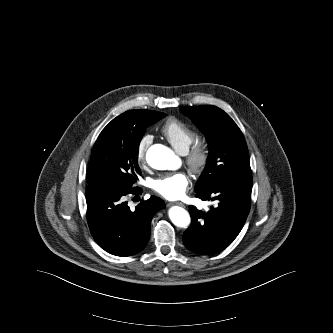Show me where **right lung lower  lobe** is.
I'll list each match as a JSON object with an SVG mask.
<instances>
[{"label": "right lung lower lobe", "mask_w": 333, "mask_h": 333, "mask_svg": "<svg viewBox=\"0 0 333 333\" xmlns=\"http://www.w3.org/2000/svg\"><path fill=\"white\" fill-rule=\"evenodd\" d=\"M141 189L87 187V221L95 241L108 253L130 256L143 250L150 237L154 214L165 208L162 199L151 196L132 211L124 202L127 194H139Z\"/></svg>", "instance_id": "right-lung-lower-lobe-1"}]
</instances>
